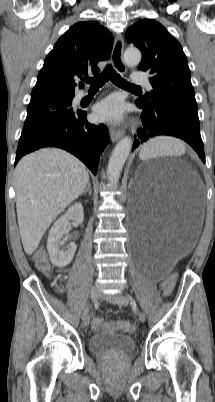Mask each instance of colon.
Listing matches in <instances>:
<instances>
[{
  "instance_id": "colon-1",
  "label": "colon",
  "mask_w": 215,
  "mask_h": 402,
  "mask_svg": "<svg viewBox=\"0 0 215 402\" xmlns=\"http://www.w3.org/2000/svg\"><path fill=\"white\" fill-rule=\"evenodd\" d=\"M36 265L37 267L44 273L48 274L49 273V266L46 258L44 256H39L36 260ZM174 277H170L166 279L162 283V289L159 290V297L160 298H171L172 297V290L174 288ZM108 327L113 330H119L125 333H131L134 330L133 324L126 322V321H120L116 323H111V324H105V322L100 319V318H95L92 321V329L93 331H99L103 329L104 327Z\"/></svg>"
}]
</instances>
